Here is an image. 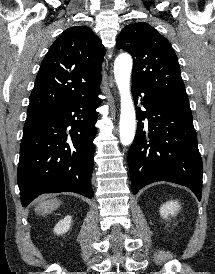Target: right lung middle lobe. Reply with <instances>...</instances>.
<instances>
[{
    "label": "right lung middle lobe",
    "instance_id": "dd1d6c3e",
    "mask_svg": "<svg viewBox=\"0 0 215 274\" xmlns=\"http://www.w3.org/2000/svg\"><path fill=\"white\" fill-rule=\"evenodd\" d=\"M49 113L50 112H28L24 129L31 125H34L35 123L46 117Z\"/></svg>",
    "mask_w": 215,
    "mask_h": 274
}]
</instances>
